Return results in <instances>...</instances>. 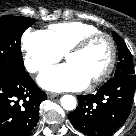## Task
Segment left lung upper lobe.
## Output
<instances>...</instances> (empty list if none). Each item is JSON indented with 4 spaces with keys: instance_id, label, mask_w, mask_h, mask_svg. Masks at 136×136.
Returning a JSON list of instances; mask_svg holds the SVG:
<instances>
[{
    "instance_id": "5c2ea615",
    "label": "left lung upper lobe",
    "mask_w": 136,
    "mask_h": 136,
    "mask_svg": "<svg viewBox=\"0 0 136 136\" xmlns=\"http://www.w3.org/2000/svg\"><path fill=\"white\" fill-rule=\"evenodd\" d=\"M113 38L118 46L119 52V63L117 65L114 77L135 74L132 55L125 42L117 33H113Z\"/></svg>"
}]
</instances>
